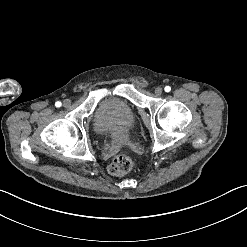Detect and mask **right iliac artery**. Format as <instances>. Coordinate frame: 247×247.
I'll list each match as a JSON object with an SVG mask.
<instances>
[{
    "label": "right iliac artery",
    "mask_w": 247,
    "mask_h": 247,
    "mask_svg": "<svg viewBox=\"0 0 247 247\" xmlns=\"http://www.w3.org/2000/svg\"><path fill=\"white\" fill-rule=\"evenodd\" d=\"M62 104H61V102L60 101H57L56 103H55V106L56 107H60Z\"/></svg>",
    "instance_id": "82829eb1"
}]
</instances>
